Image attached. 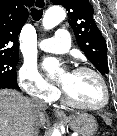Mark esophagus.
I'll return each mask as SVG.
<instances>
[{
	"instance_id": "esophagus-1",
	"label": "esophagus",
	"mask_w": 117,
	"mask_h": 136,
	"mask_svg": "<svg viewBox=\"0 0 117 136\" xmlns=\"http://www.w3.org/2000/svg\"><path fill=\"white\" fill-rule=\"evenodd\" d=\"M37 2H38V4L41 6V8L36 6V3H37ZM35 6H36L38 9H43V8L46 7V1H45V0H35ZM54 114H55V116L58 117V118H63V119L66 118L65 113H64L62 110H60V109H55V110H54Z\"/></svg>"
}]
</instances>
